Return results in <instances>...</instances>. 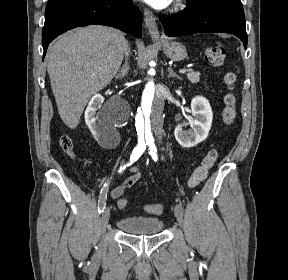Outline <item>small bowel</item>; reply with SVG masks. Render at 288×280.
Masks as SVG:
<instances>
[{"instance_id": "obj_1", "label": "small bowel", "mask_w": 288, "mask_h": 280, "mask_svg": "<svg viewBox=\"0 0 288 280\" xmlns=\"http://www.w3.org/2000/svg\"><path fill=\"white\" fill-rule=\"evenodd\" d=\"M131 166V165H130ZM130 171L132 174L128 177H126L124 180L120 182L112 191H111V197L114 200H117V203H119L122 199H124L123 195L125 191L132 186H134L139 179L141 178L140 171L138 167L136 166H131ZM119 206V205H118ZM120 209H124L121 206H119Z\"/></svg>"}]
</instances>
